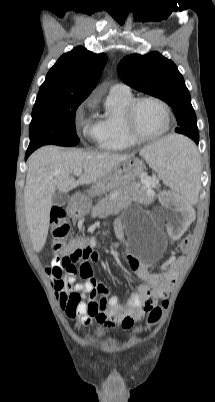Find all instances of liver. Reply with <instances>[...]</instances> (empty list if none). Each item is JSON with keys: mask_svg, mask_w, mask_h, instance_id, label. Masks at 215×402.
I'll return each mask as SVG.
<instances>
[{"mask_svg": "<svg viewBox=\"0 0 215 402\" xmlns=\"http://www.w3.org/2000/svg\"><path fill=\"white\" fill-rule=\"evenodd\" d=\"M128 158V155L115 153L63 150L52 145L39 148L29 157L24 210L27 229L36 252L41 251L47 239L56 189L67 193L79 185L96 183ZM77 169L84 172L76 180L72 173Z\"/></svg>", "mask_w": 215, "mask_h": 402, "instance_id": "obj_1", "label": "liver"}]
</instances>
